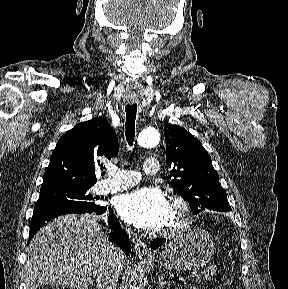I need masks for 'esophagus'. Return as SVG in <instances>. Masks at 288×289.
<instances>
[{"label": "esophagus", "instance_id": "1", "mask_svg": "<svg viewBox=\"0 0 288 289\" xmlns=\"http://www.w3.org/2000/svg\"><path fill=\"white\" fill-rule=\"evenodd\" d=\"M134 242H135L134 249H135L136 255L140 258L150 259L151 254L149 253L146 244L142 242L141 240H135Z\"/></svg>", "mask_w": 288, "mask_h": 289}]
</instances>
